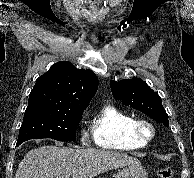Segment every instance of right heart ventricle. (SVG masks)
Masks as SVG:
<instances>
[{
  "label": "right heart ventricle",
  "mask_w": 194,
  "mask_h": 178,
  "mask_svg": "<svg viewBox=\"0 0 194 178\" xmlns=\"http://www.w3.org/2000/svg\"><path fill=\"white\" fill-rule=\"evenodd\" d=\"M134 117L113 105H105L91 121L94 143L103 149L132 151L145 146L134 138L131 126Z\"/></svg>",
  "instance_id": "obj_1"
}]
</instances>
